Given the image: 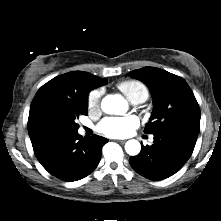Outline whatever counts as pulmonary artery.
I'll use <instances>...</instances> for the list:
<instances>
[{
  "label": "pulmonary artery",
  "mask_w": 221,
  "mask_h": 221,
  "mask_svg": "<svg viewBox=\"0 0 221 221\" xmlns=\"http://www.w3.org/2000/svg\"><path fill=\"white\" fill-rule=\"evenodd\" d=\"M142 101L141 100H134L132 101V103L134 104H138V103H141ZM80 132L83 133L84 132V128H80Z\"/></svg>",
  "instance_id": "1"
}]
</instances>
